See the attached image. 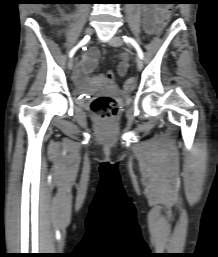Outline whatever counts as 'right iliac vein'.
<instances>
[{
  "mask_svg": "<svg viewBox=\"0 0 218 257\" xmlns=\"http://www.w3.org/2000/svg\"><path fill=\"white\" fill-rule=\"evenodd\" d=\"M92 32H93V29H92L91 27H87V28L85 29V31H84V34H85V35H91ZM73 66H74V59L71 58V59L69 60V62H68V68L71 70V69H73Z\"/></svg>",
  "mask_w": 218,
  "mask_h": 257,
  "instance_id": "1",
  "label": "right iliac vein"
}]
</instances>
